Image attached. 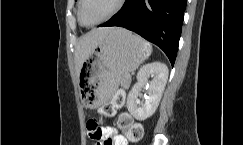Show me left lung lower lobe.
I'll use <instances>...</instances> for the list:
<instances>
[{
	"mask_svg": "<svg viewBox=\"0 0 243 145\" xmlns=\"http://www.w3.org/2000/svg\"><path fill=\"white\" fill-rule=\"evenodd\" d=\"M187 0H126L101 26L129 29L159 46L174 65Z\"/></svg>",
	"mask_w": 243,
	"mask_h": 145,
	"instance_id": "0a47b994",
	"label": "left lung lower lobe"
}]
</instances>
